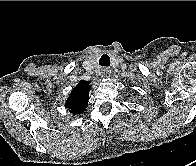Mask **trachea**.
<instances>
[{"mask_svg":"<svg viewBox=\"0 0 196 166\" xmlns=\"http://www.w3.org/2000/svg\"><path fill=\"white\" fill-rule=\"evenodd\" d=\"M99 64L104 67H108L110 65V57L107 54L101 56L99 60Z\"/></svg>","mask_w":196,"mask_h":166,"instance_id":"obj_1","label":"trachea"}]
</instances>
